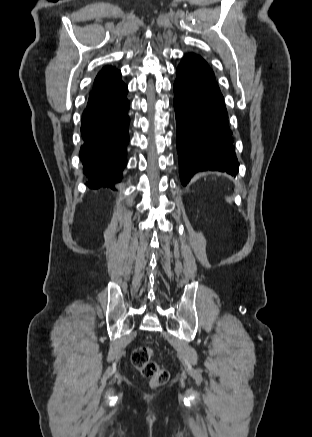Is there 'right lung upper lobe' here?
<instances>
[{"label":"right lung upper lobe","instance_id":"obj_1","mask_svg":"<svg viewBox=\"0 0 312 437\" xmlns=\"http://www.w3.org/2000/svg\"><path fill=\"white\" fill-rule=\"evenodd\" d=\"M119 74H121L120 71L116 70L112 66L104 67L97 75L94 81L93 89H96L102 85L109 83L112 79H114Z\"/></svg>","mask_w":312,"mask_h":437}]
</instances>
